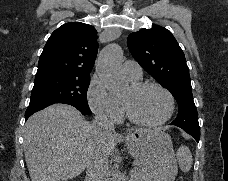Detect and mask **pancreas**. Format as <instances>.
I'll return each instance as SVG.
<instances>
[{"label":"pancreas","mask_w":228,"mask_h":181,"mask_svg":"<svg viewBox=\"0 0 228 181\" xmlns=\"http://www.w3.org/2000/svg\"><path fill=\"white\" fill-rule=\"evenodd\" d=\"M134 181H140V175H142V171H135V173H132Z\"/></svg>","instance_id":"1"}]
</instances>
